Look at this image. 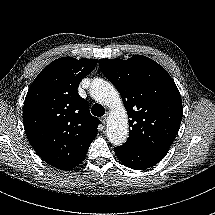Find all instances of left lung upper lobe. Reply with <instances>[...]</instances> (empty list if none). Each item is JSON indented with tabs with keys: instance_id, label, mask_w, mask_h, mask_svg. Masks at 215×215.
<instances>
[{
	"instance_id": "1",
	"label": "left lung upper lobe",
	"mask_w": 215,
	"mask_h": 215,
	"mask_svg": "<svg viewBox=\"0 0 215 215\" xmlns=\"http://www.w3.org/2000/svg\"><path fill=\"white\" fill-rule=\"evenodd\" d=\"M99 68L120 93L129 118L122 146L138 151L168 150L182 120V100L166 70L152 59H100Z\"/></svg>"
}]
</instances>
